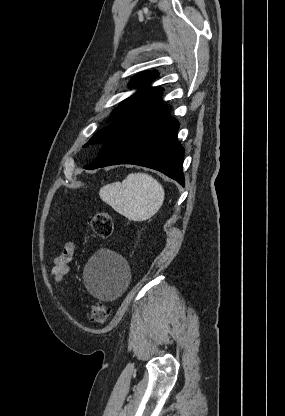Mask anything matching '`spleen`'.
I'll use <instances>...</instances> for the list:
<instances>
[{"label":"spleen","instance_id":"obj_1","mask_svg":"<svg viewBox=\"0 0 285 416\" xmlns=\"http://www.w3.org/2000/svg\"><path fill=\"white\" fill-rule=\"evenodd\" d=\"M103 202L133 222H144L160 210L165 192L148 174H129L123 182L103 186L99 192Z\"/></svg>","mask_w":285,"mask_h":416}]
</instances>
